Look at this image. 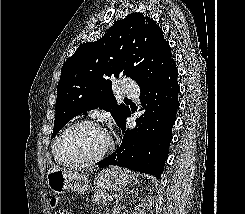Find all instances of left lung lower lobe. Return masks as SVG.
I'll return each mask as SVG.
<instances>
[{"label": "left lung lower lobe", "mask_w": 245, "mask_h": 214, "mask_svg": "<svg viewBox=\"0 0 245 214\" xmlns=\"http://www.w3.org/2000/svg\"><path fill=\"white\" fill-rule=\"evenodd\" d=\"M177 77L178 70L173 64L155 83L140 90L141 105L146 112L136 119L137 128L126 130L129 111L120 126L124 134L121 146L101 160L99 167L118 165L161 177L179 108Z\"/></svg>", "instance_id": "0a47b994"}]
</instances>
